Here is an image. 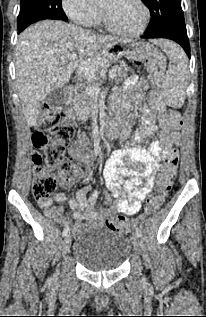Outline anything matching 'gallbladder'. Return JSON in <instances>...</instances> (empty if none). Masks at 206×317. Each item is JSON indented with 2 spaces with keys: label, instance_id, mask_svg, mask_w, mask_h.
I'll list each match as a JSON object with an SVG mask.
<instances>
[{
  "label": "gallbladder",
  "instance_id": "obj_1",
  "mask_svg": "<svg viewBox=\"0 0 206 317\" xmlns=\"http://www.w3.org/2000/svg\"><path fill=\"white\" fill-rule=\"evenodd\" d=\"M65 89L60 87L51 91L45 101L51 108H60L65 102Z\"/></svg>",
  "mask_w": 206,
  "mask_h": 317
}]
</instances>
